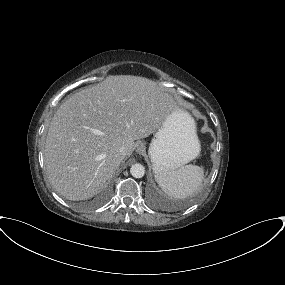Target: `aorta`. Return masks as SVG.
<instances>
[{
    "mask_svg": "<svg viewBox=\"0 0 285 285\" xmlns=\"http://www.w3.org/2000/svg\"><path fill=\"white\" fill-rule=\"evenodd\" d=\"M130 173L134 178H142L145 174V167L140 163L133 164Z\"/></svg>",
    "mask_w": 285,
    "mask_h": 285,
    "instance_id": "1",
    "label": "aorta"
}]
</instances>
